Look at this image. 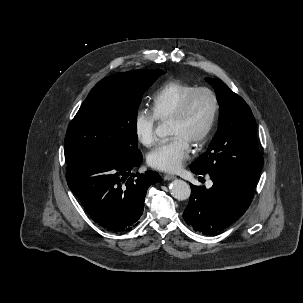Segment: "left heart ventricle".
<instances>
[{
    "label": "left heart ventricle",
    "mask_w": 303,
    "mask_h": 303,
    "mask_svg": "<svg viewBox=\"0 0 303 303\" xmlns=\"http://www.w3.org/2000/svg\"><path fill=\"white\" fill-rule=\"evenodd\" d=\"M212 99L206 93H199L192 101L187 115L181 121H170L171 136L180 135L194 144L205 129L212 112Z\"/></svg>",
    "instance_id": "left-heart-ventricle-1"
}]
</instances>
